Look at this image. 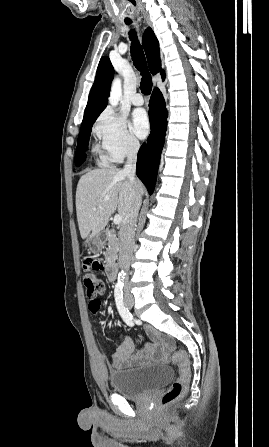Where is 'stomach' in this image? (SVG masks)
I'll list each match as a JSON object with an SVG mask.
<instances>
[{
    "label": "stomach",
    "mask_w": 269,
    "mask_h": 447,
    "mask_svg": "<svg viewBox=\"0 0 269 447\" xmlns=\"http://www.w3.org/2000/svg\"><path fill=\"white\" fill-rule=\"evenodd\" d=\"M106 237H103V233H98L95 237H92L88 243V247L92 253H99L105 247Z\"/></svg>",
    "instance_id": "1"
}]
</instances>
